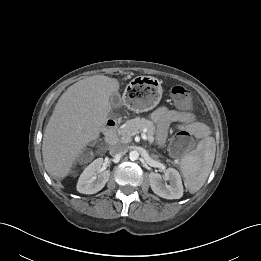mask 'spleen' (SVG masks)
I'll list each match as a JSON object with an SVG mask.
<instances>
[{
  "label": "spleen",
  "instance_id": "1",
  "mask_svg": "<svg viewBox=\"0 0 261 261\" xmlns=\"http://www.w3.org/2000/svg\"><path fill=\"white\" fill-rule=\"evenodd\" d=\"M216 144L212 137L199 142L197 148L181 159L180 170L185 187L196 193L206 182L215 159Z\"/></svg>",
  "mask_w": 261,
  "mask_h": 261
}]
</instances>
